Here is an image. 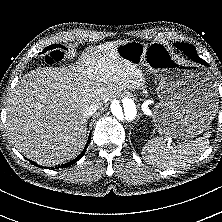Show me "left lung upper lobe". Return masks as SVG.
I'll return each instance as SVG.
<instances>
[{"label": "left lung upper lobe", "mask_w": 222, "mask_h": 222, "mask_svg": "<svg viewBox=\"0 0 222 222\" xmlns=\"http://www.w3.org/2000/svg\"><path fill=\"white\" fill-rule=\"evenodd\" d=\"M175 46L178 47L183 52H185V54L192 53L195 56L199 57L197 55V52H196L195 48L192 45H190V44H187V43H175Z\"/></svg>", "instance_id": "obj_1"}]
</instances>
